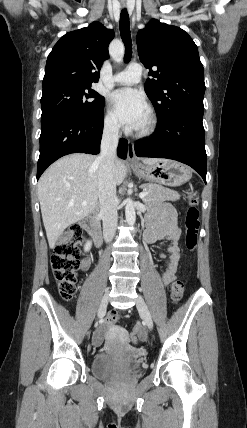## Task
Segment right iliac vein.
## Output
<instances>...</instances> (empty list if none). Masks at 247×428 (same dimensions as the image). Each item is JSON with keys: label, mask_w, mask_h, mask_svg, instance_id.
<instances>
[{"label": "right iliac vein", "mask_w": 247, "mask_h": 428, "mask_svg": "<svg viewBox=\"0 0 247 428\" xmlns=\"http://www.w3.org/2000/svg\"><path fill=\"white\" fill-rule=\"evenodd\" d=\"M108 300H109V296H108V292H106L102 298V301H101L99 309H98V313H97L98 317H101L105 313L106 308H107V304H108Z\"/></svg>", "instance_id": "obj_1"}]
</instances>
